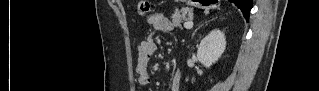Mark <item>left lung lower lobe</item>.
<instances>
[{"mask_svg":"<svg viewBox=\"0 0 319 91\" xmlns=\"http://www.w3.org/2000/svg\"><path fill=\"white\" fill-rule=\"evenodd\" d=\"M236 6H238L246 20L248 21L249 19V12L253 6L252 0H231ZM202 3V2H200Z\"/></svg>","mask_w":319,"mask_h":91,"instance_id":"obj_1","label":"left lung lower lobe"}]
</instances>
